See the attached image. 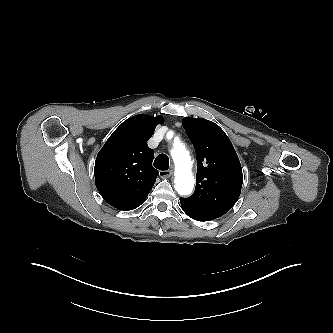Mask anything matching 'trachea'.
I'll return each instance as SVG.
<instances>
[{
  "instance_id": "obj_1",
  "label": "trachea",
  "mask_w": 333,
  "mask_h": 333,
  "mask_svg": "<svg viewBox=\"0 0 333 333\" xmlns=\"http://www.w3.org/2000/svg\"><path fill=\"white\" fill-rule=\"evenodd\" d=\"M154 167L162 171L168 170L169 168L168 156L165 154L158 155L154 161Z\"/></svg>"
}]
</instances>
